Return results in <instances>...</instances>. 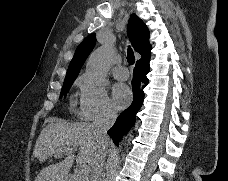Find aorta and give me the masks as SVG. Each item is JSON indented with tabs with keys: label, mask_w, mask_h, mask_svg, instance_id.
I'll return each instance as SVG.
<instances>
[{
	"label": "aorta",
	"mask_w": 228,
	"mask_h": 181,
	"mask_svg": "<svg viewBox=\"0 0 228 181\" xmlns=\"http://www.w3.org/2000/svg\"><path fill=\"white\" fill-rule=\"evenodd\" d=\"M113 49L109 45H103L96 49L89 57L86 65L88 77L97 85L106 83L107 73L112 61Z\"/></svg>",
	"instance_id": "762f6f07"
}]
</instances>
